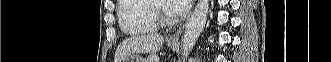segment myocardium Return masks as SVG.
Segmentation results:
<instances>
[{
    "label": "myocardium",
    "mask_w": 331,
    "mask_h": 62,
    "mask_svg": "<svg viewBox=\"0 0 331 62\" xmlns=\"http://www.w3.org/2000/svg\"><path fill=\"white\" fill-rule=\"evenodd\" d=\"M151 16L156 25L166 26L171 23V15L166 11V7L157 0L149 1Z\"/></svg>",
    "instance_id": "myocardium-1"
}]
</instances>
